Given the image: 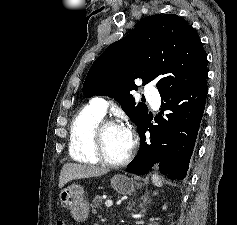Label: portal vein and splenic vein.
Wrapping results in <instances>:
<instances>
[{
    "label": "portal vein and splenic vein",
    "mask_w": 237,
    "mask_h": 225,
    "mask_svg": "<svg viewBox=\"0 0 237 225\" xmlns=\"http://www.w3.org/2000/svg\"><path fill=\"white\" fill-rule=\"evenodd\" d=\"M105 205H106L107 207H111V206L113 205L112 200H106Z\"/></svg>",
    "instance_id": "18ae733b"
}]
</instances>
